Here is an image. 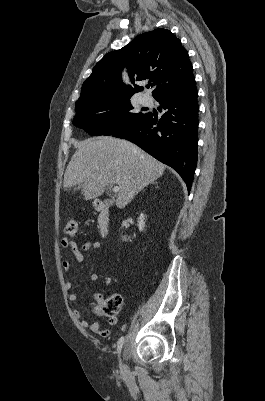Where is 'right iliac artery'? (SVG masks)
<instances>
[{"label": "right iliac artery", "mask_w": 265, "mask_h": 401, "mask_svg": "<svg viewBox=\"0 0 265 401\" xmlns=\"http://www.w3.org/2000/svg\"><path fill=\"white\" fill-rule=\"evenodd\" d=\"M123 342H124V337L122 336L121 338H119V340L117 342V353L119 355H120L121 350H122Z\"/></svg>", "instance_id": "right-iliac-artery-1"}]
</instances>
